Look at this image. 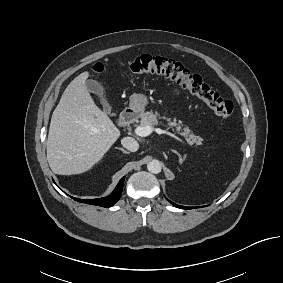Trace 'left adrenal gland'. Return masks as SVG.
Wrapping results in <instances>:
<instances>
[{"mask_svg": "<svg viewBox=\"0 0 283 283\" xmlns=\"http://www.w3.org/2000/svg\"><path fill=\"white\" fill-rule=\"evenodd\" d=\"M171 151L179 157V163L182 164L184 162L185 158L182 157V155L180 153H178L176 150L172 149Z\"/></svg>", "mask_w": 283, "mask_h": 283, "instance_id": "1", "label": "left adrenal gland"}]
</instances>
